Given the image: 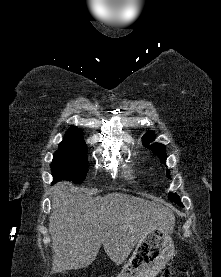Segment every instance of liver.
Here are the masks:
<instances>
[{"mask_svg": "<svg viewBox=\"0 0 221 277\" xmlns=\"http://www.w3.org/2000/svg\"><path fill=\"white\" fill-rule=\"evenodd\" d=\"M52 194V273L89 266L101 245L114 263L122 264L149 232L173 231V212L159 203L117 192L95 198L70 194L65 181Z\"/></svg>", "mask_w": 221, "mask_h": 277, "instance_id": "6515ba94", "label": "liver"}]
</instances>
